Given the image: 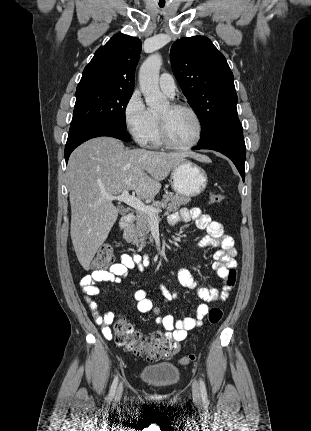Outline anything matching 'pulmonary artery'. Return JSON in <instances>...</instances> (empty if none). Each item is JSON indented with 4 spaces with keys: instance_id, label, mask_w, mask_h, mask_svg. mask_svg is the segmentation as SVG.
Masks as SVG:
<instances>
[{
    "instance_id": "1",
    "label": "pulmonary artery",
    "mask_w": 311,
    "mask_h": 431,
    "mask_svg": "<svg viewBox=\"0 0 311 431\" xmlns=\"http://www.w3.org/2000/svg\"><path fill=\"white\" fill-rule=\"evenodd\" d=\"M158 84L162 92L169 96H173L176 90L174 78L169 73H163L158 79Z\"/></svg>"
}]
</instances>
